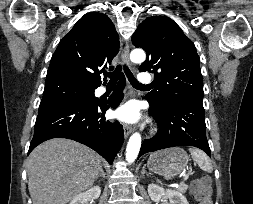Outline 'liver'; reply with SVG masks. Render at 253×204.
<instances>
[{"mask_svg":"<svg viewBox=\"0 0 253 204\" xmlns=\"http://www.w3.org/2000/svg\"><path fill=\"white\" fill-rule=\"evenodd\" d=\"M102 168L90 148L63 138L37 146L27 164L28 189L33 204H66L90 188Z\"/></svg>","mask_w":253,"mask_h":204,"instance_id":"liver-1","label":"liver"}]
</instances>
